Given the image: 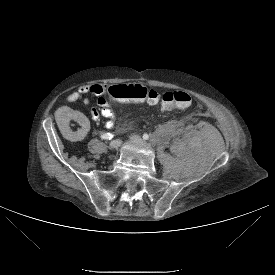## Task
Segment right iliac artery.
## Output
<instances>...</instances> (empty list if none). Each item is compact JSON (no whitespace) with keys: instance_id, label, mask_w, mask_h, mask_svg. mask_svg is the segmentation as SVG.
I'll list each match as a JSON object with an SVG mask.
<instances>
[{"instance_id":"82829eb1","label":"right iliac artery","mask_w":275,"mask_h":275,"mask_svg":"<svg viewBox=\"0 0 275 275\" xmlns=\"http://www.w3.org/2000/svg\"><path fill=\"white\" fill-rule=\"evenodd\" d=\"M113 136L114 135L112 133H105V134L101 135V138L105 139V140H110L113 138Z\"/></svg>"}]
</instances>
